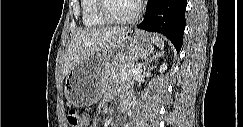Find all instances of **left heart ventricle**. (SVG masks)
<instances>
[{
  "mask_svg": "<svg viewBox=\"0 0 243 127\" xmlns=\"http://www.w3.org/2000/svg\"><path fill=\"white\" fill-rule=\"evenodd\" d=\"M106 3L109 12L120 18L130 16L135 10L134 0H107Z\"/></svg>",
  "mask_w": 243,
  "mask_h": 127,
  "instance_id": "left-heart-ventricle-1",
  "label": "left heart ventricle"
}]
</instances>
